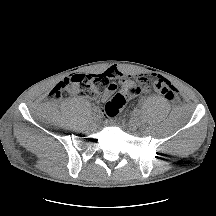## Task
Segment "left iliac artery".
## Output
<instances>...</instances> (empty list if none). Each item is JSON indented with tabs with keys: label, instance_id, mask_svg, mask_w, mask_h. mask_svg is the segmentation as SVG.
Masks as SVG:
<instances>
[{
	"label": "left iliac artery",
	"instance_id": "1",
	"mask_svg": "<svg viewBox=\"0 0 216 216\" xmlns=\"http://www.w3.org/2000/svg\"><path fill=\"white\" fill-rule=\"evenodd\" d=\"M134 114H135L136 116L139 115V114H140V110L136 108V109L134 110Z\"/></svg>",
	"mask_w": 216,
	"mask_h": 216
}]
</instances>
